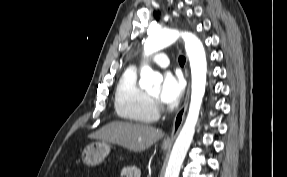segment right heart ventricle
<instances>
[{
	"label": "right heart ventricle",
	"mask_w": 287,
	"mask_h": 177,
	"mask_svg": "<svg viewBox=\"0 0 287 177\" xmlns=\"http://www.w3.org/2000/svg\"><path fill=\"white\" fill-rule=\"evenodd\" d=\"M114 108L123 121L151 123L157 118L149 96L138 84L137 70L134 67L124 71L116 86Z\"/></svg>",
	"instance_id": "right-heart-ventricle-1"
}]
</instances>
